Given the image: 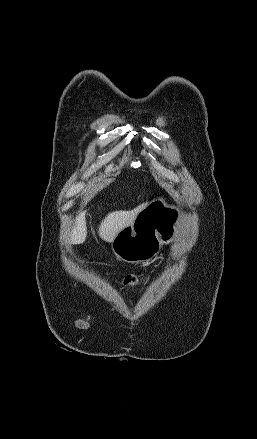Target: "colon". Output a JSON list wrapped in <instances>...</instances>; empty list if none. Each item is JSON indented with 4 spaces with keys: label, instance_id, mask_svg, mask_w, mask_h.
<instances>
[{
    "label": "colon",
    "instance_id": "obj_1",
    "mask_svg": "<svg viewBox=\"0 0 257 439\" xmlns=\"http://www.w3.org/2000/svg\"><path fill=\"white\" fill-rule=\"evenodd\" d=\"M140 283L139 277L136 275H127L123 280V285L125 287L136 288Z\"/></svg>",
    "mask_w": 257,
    "mask_h": 439
}]
</instances>
